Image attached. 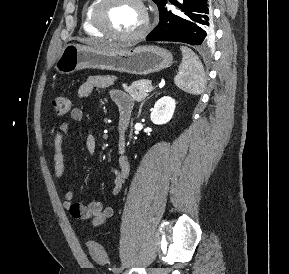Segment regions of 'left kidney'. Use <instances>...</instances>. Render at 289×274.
Wrapping results in <instances>:
<instances>
[{"label":"left kidney","mask_w":289,"mask_h":274,"mask_svg":"<svg viewBox=\"0 0 289 274\" xmlns=\"http://www.w3.org/2000/svg\"><path fill=\"white\" fill-rule=\"evenodd\" d=\"M176 107V102L169 96L160 98L152 109L150 118L154 124H166L172 119Z\"/></svg>","instance_id":"left-kidney-1"}]
</instances>
